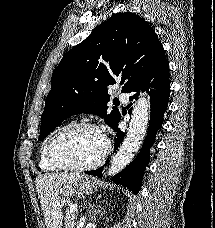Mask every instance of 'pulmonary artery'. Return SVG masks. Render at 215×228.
<instances>
[{"label":"pulmonary artery","instance_id":"e3ab8cb5","mask_svg":"<svg viewBox=\"0 0 215 228\" xmlns=\"http://www.w3.org/2000/svg\"><path fill=\"white\" fill-rule=\"evenodd\" d=\"M117 89H124V84H115V89L112 90V94L118 97V102H131V97H128L126 94H121Z\"/></svg>","mask_w":215,"mask_h":228}]
</instances>
